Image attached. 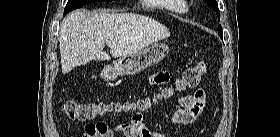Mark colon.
I'll return each instance as SVG.
<instances>
[{
    "mask_svg": "<svg viewBox=\"0 0 280 137\" xmlns=\"http://www.w3.org/2000/svg\"><path fill=\"white\" fill-rule=\"evenodd\" d=\"M206 67L198 64L183 70L173 87L163 89L159 93L160 99H166L174 91H187L196 88L202 78L206 75ZM151 102L149 99H142L136 102H125L121 104H108L104 102L91 101H65L61 109L65 115L73 120L85 121L96 116L110 115L112 113H125L134 115L146 111ZM124 137H136V134L125 133Z\"/></svg>",
    "mask_w": 280,
    "mask_h": 137,
    "instance_id": "1",
    "label": "colon"
}]
</instances>
